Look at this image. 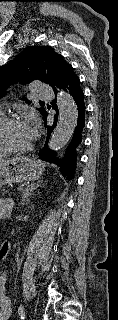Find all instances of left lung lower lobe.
<instances>
[{
    "mask_svg": "<svg viewBox=\"0 0 118 320\" xmlns=\"http://www.w3.org/2000/svg\"><path fill=\"white\" fill-rule=\"evenodd\" d=\"M59 89L69 93L78 110L77 124L72 136V140L68 145L65 154L61 158H57L55 152L48 148V141L53 129L57 125V115L55 116L53 125L46 126L47 113L43 116L45 126L47 127V139L43 148L39 151V158L43 161L56 163L63 170V175L67 176L68 179L73 178V174L76 166L77 150L82 142V133L85 126V103L84 93L80 86L79 77L74 73L73 69L69 72L66 78L58 86ZM57 89H55L56 92ZM53 108L57 111L55 101L52 103Z\"/></svg>",
    "mask_w": 118,
    "mask_h": 320,
    "instance_id": "left-lung-lower-lobe-1",
    "label": "left lung lower lobe"
}]
</instances>
